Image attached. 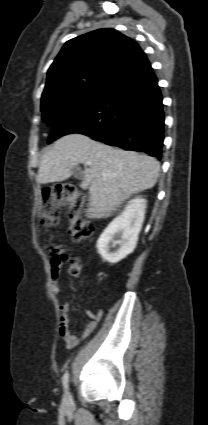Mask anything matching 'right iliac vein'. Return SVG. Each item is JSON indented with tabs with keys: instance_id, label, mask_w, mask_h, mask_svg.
Wrapping results in <instances>:
<instances>
[{
	"instance_id": "right-iliac-vein-1",
	"label": "right iliac vein",
	"mask_w": 208,
	"mask_h": 425,
	"mask_svg": "<svg viewBox=\"0 0 208 425\" xmlns=\"http://www.w3.org/2000/svg\"><path fill=\"white\" fill-rule=\"evenodd\" d=\"M63 404L65 406H68L70 404V397L68 395H65L63 398Z\"/></svg>"
}]
</instances>
